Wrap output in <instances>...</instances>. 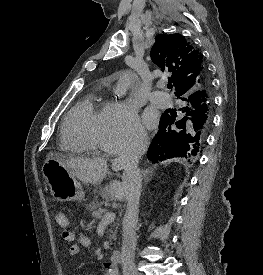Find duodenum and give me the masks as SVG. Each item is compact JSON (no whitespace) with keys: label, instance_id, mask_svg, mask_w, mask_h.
Instances as JSON below:
<instances>
[{"label":"duodenum","instance_id":"obj_1","mask_svg":"<svg viewBox=\"0 0 263 275\" xmlns=\"http://www.w3.org/2000/svg\"><path fill=\"white\" fill-rule=\"evenodd\" d=\"M122 260V254L120 251H113L110 258L104 262V267L108 271L115 272L118 264Z\"/></svg>","mask_w":263,"mask_h":275}]
</instances>
